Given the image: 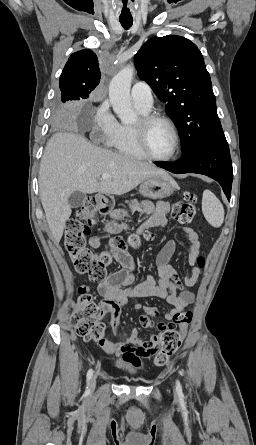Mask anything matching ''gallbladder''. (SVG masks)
Listing matches in <instances>:
<instances>
[{"instance_id":"bac80fb5","label":"gallbladder","mask_w":256,"mask_h":445,"mask_svg":"<svg viewBox=\"0 0 256 445\" xmlns=\"http://www.w3.org/2000/svg\"><path fill=\"white\" fill-rule=\"evenodd\" d=\"M85 200H86V195L81 191L73 192L68 198V202L72 208H77L81 206L85 202Z\"/></svg>"}]
</instances>
